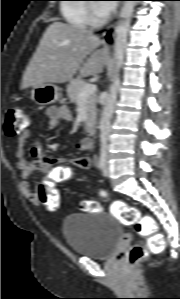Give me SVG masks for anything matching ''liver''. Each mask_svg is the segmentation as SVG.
Wrapping results in <instances>:
<instances>
[{
  "mask_svg": "<svg viewBox=\"0 0 180 299\" xmlns=\"http://www.w3.org/2000/svg\"><path fill=\"white\" fill-rule=\"evenodd\" d=\"M101 43L99 37L89 30L53 22L26 68L21 89L65 83L76 73L80 77L96 76L103 71L108 60L107 50L97 49Z\"/></svg>",
  "mask_w": 180,
  "mask_h": 299,
  "instance_id": "1",
  "label": "liver"
}]
</instances>
